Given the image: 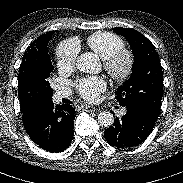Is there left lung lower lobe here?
Wrapping results in <instances>:
<instances>
[{
	"label": "left lung lower lobe",
	"instance_id": "1",
	"mask_svg": "<svg viewBox=\"0 0 183 183\" xmlns=\"http://www.w3.org/2000/svg\"><path fill=\"white\" fill-rule=\"evenodd\" d=\"M122 118L104 131L108 144L117 148H132L141 144L151 133L157 118L137 107L127 106Z\"/></svg>",
	"mask_w": 183,
	"mask_h": 183
}]
</instances>
